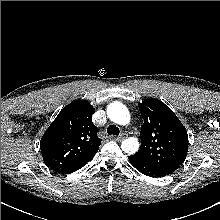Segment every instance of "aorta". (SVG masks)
<instances>
[{"label": "aorta", "instance_id": "1", "mask_svg": "<svg viewBox=\"0 0 220 220\" xmlns=\"http://www.w3.org/2000/svg\"><path fill=\"white\" fill-rule=\"evenodd\" d=\"M107 116L109 119L119 125L129 124L131 117L125 105L120 102H114L107 107ZM122 150L127 154H135L139 149L137 138H127L121 144Z\"/></svg>", "mask_w": 220, "mask_h": 220}]
</instances>
